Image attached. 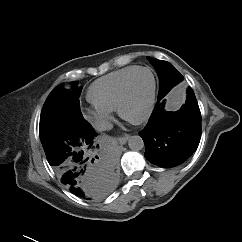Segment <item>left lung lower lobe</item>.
I'll use <instances>...</instances> for the list:
<instances>
[{
	"instance_id": "1",
	"label": "left lung lower lobe",
	"mask_w": 242,
	"mask_h": 242,
	"mask_svg": "<svg viewBox=\"0 0 242 242\" xmlns=\"http://www.w3.org/2000/svg\"><path fill=\"white\" fill-rule=\"evenodd\" d=\"M156 105L148 124L139 132L145 144V158L170 168L185 162L197 149L201 138V113L191 88L180 110L167 112L164 100Z\"/></svg>"
}]
</instances>
